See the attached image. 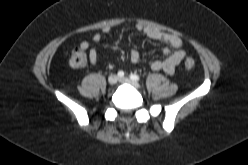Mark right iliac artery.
Here are the masks:
<instances>
[{
  "label": "right iliac artery",
  "mask_w": 248,
  "mask_h": 165,
  "mask_svg": "<svg viewBox=\"0 0 248 165\" xmlns=\"http://www.w3.org/2000/svg\"><path fill=\"white\" fill-rule=\"evenodd\" d=\"M117 75H118V77H120V78H121V77H123V76H124V72H123V71H119Z\"/></svg>",
  "instance_id": "right-iliac-artery-1"
}]
</instances>
